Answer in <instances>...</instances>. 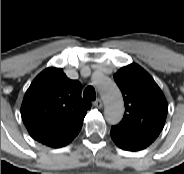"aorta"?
Segmentation results:
<instances>
[{
  "label": "aorta",
  "mask_w": 184,
  "mask_h": 174,
  "mask_svg": "<svg viewBox=\"0 0 184 174\" xmlns=\"http://www.w3.org/2000/svg\"><path fill=\"white\" fill-rule=\"evenodd\" d=\"M97 87L105 102L104 115L109 124H117L124 113V104L120 90L109 78L101 76L96 79Z\"/></svg>",
  "instance_id": "obj_1"
}]
</instances>
